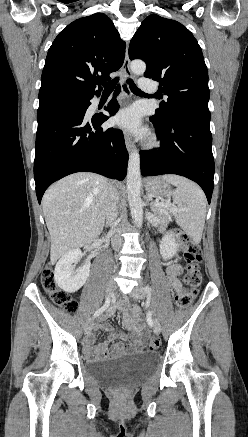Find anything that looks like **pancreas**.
I'll return each mask as SVG.
<instances>
[{"instance_id":"pancreas-1","label":"pancreas","mask_w":248,"mask_h":437,"mask_svg":"<svg viewBox=\"0 0 248 437\" xmlns=\"http://www.w3.org/2000/svg\"><path fill=\"white\" fill-rule=\"evenodd\" d=\"M152 212L156 216L160 229H163L171 220L172 213L168 208L157 206L156 203L152 206Z\"/></svg>"}]
</instances>
